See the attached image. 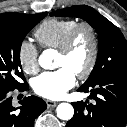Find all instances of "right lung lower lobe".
<instances>
[{"label":"right lung lower lobe","instance_id":"right-lung-lower-lobe-1","mask_svg":"<svg viewBox=\"0 0 127 127\" xmlns=\"http://www.w3.org/2000/svg\"><path fill=\"white\" fill-rule=\"evenodd\" d=\"M28 84L17 88L26 91ZM12 90H0V127H34V120L46 109V103L36 96L24 97L20 107L12 105Z\"/></svg>","mask_w":127,"mask_h":127}]
</instances>
